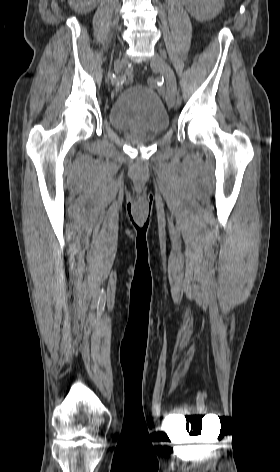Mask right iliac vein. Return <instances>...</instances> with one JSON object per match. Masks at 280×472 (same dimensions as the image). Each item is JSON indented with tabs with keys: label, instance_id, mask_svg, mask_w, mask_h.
Here are the masks:
<instances>
[{
	"label": "right iliac vein",
	"instance_id": "obj_1",
	"mask_svg": "<svg viewBox=\"0 0 280 472\" xmlns=\"http://www.w3.org/2000/svg\"><path fill=\"white\" fill-rule=\"evenodd\" d=\"M120 68H121V62H120V60H117L114 64V69L117 70V69H120Z\"/></svg>",
	"mask_w": 280,
	"mask_h": 472
}]
</instances>
